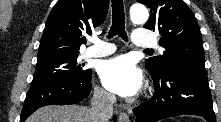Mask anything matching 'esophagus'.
Instances as JSON below:
<instances>
[{"label": "esophagus", "instance_id": "34e87169", "mask_svg": "<svg viewBox=\"0 0 221 122\" xmlns=\"http://www.w3.org/2000/svg\"><path fill=\"white\" fill-rule=\"evenodd\" d=\"M119 122H130L129 116L125 112H121L119 115Z\"/></svg>", "mask_w": 221, "mask_h": 122}]
</instances>
